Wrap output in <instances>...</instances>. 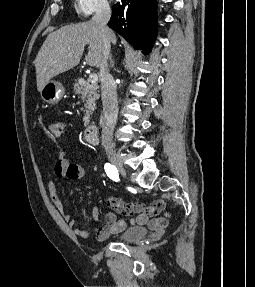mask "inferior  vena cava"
Returning a JSON list of instances; mask_svg holds the SVG:
<instances>
[{
  "instance_id": "602c4592",
  "label": "inferior vena cava",
  "mask_w": 255,
  "mask_h": 287,
  "mask_svg": "<svg viewBox=\"0 0 255 287\" xmlns=\"http://www.w3.org/2000/svg\"><path fill=\"white\" fill-rule=\"evenodd\" d=\"M111 10L107 0H102L96 4V12L92 18V22L97 24L102 34L103 52L101 58V64L99 66V78L101 82V96L103 104V118H102V145L104 147H113L112 136L114 126L117 120L118 114V102L116 84L113 80V76L109 74L110 60V38L113 36L110 28L107 24L110 20Z\"/></svg>"
}]
</instances>
